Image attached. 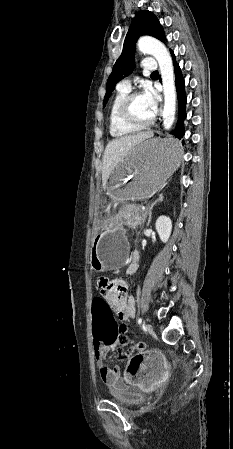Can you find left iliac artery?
I'll list each match as a JSON object with an SVG mask.
<instances>
[{
  "label": "left iliac artery",
  "instance_id": "1",
  "mask_svg": "<svg viewBox=\"0 0 233 449\" xmlns=\"http://www.w3.org/2000/svg\"><path fill=\"white\" fill-rule=\"evenodd\" d=\"M142 323H143V319H142V318H139V319H138V324L141 325Z\"/></svg>",
  "mask_w": 233,
  "mask_h": 449
}]
</instances>
